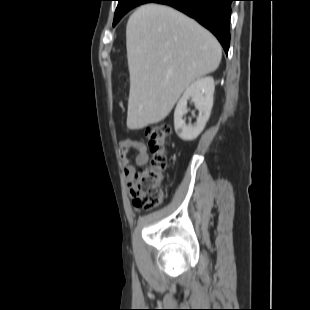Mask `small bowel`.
I'll return each mask as SVG.
<instances>
[{"label":"small bowel","instance_id":"obj_1","mask_svg":"<svg viewBox=\"0 0 310 310\" xmlns=\"http://www.w3.org/2000/svg\"><path fill=\"white\" fill-rule=\"evenodd\" d=\"M134 150L136 155L134 162L131 161L129 153ZM119 155L124 168V175L131 180L136 172V167L143 166L148 161V153L144 143L135 139H125L119 144Z\"/></svg>","mask_w":310,"mask_h":310}]
</instances>
